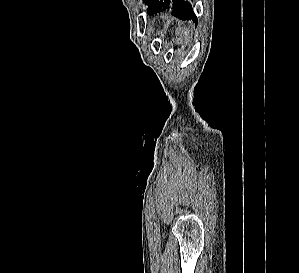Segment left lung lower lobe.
<instances>
[{
  "instance_id": "1",
  "label": "left lung lower lobe",
  "mask_w": 299,
  "mask_h": 273,
  "mask_svg": "<svg viewBox=\"0 0 299 273\" xmlns=\"http://www.w3.org/2000/svg\"><path fill=\"white\" fill-rule=\"evenodd\" d=\"M151 1V3H150ZM148 13L151 15L166 9H171L172 14L181 20L192 19L197 24V17L191 8V4L184 0H147Z\"/></svg>"
}]
</instances>
